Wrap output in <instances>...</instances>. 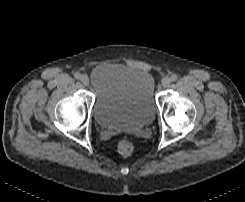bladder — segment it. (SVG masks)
<instances>
[{
    "label": "bladder",
    "instance_id": "obj_1",
    "mask_svg": "<svg viewBox=\"0 0 245 202\" xmlns=\"http://www.w3.org/2000/svg\"><path fill=\"white\" fill-rule=\"evenodd\" d=\"M92 114L101 128L150 125L158 110L150 71L125 64H100L91 72Z\"/></svg>",
    "mask_w": 245,
    "mask_h": 202
}]
</instances>
